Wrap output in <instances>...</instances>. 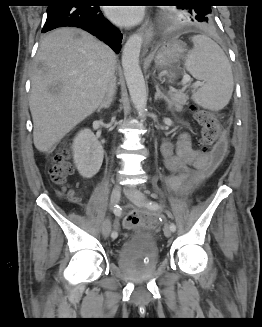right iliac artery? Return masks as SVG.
Masks as SVG:
<instances>
[{
    "label": "right iliac artery",
    "mask_w": 262,
    "mask_h": 327,
    "mask_svg": "<svg viewBox=\"0 0 262 327\" xmlns=\"http://www.w3.org/2000/svg\"><path fill=\"white\" fill-rule=\"evenodd\" d=\"M121 211H122V209L118 205H115L114 206L113 212H114V214L116 216L119 217L121 215ZM117 236H118L117 232L116 231H113L112 234H111V237L112 238H117Z\"/></svg>",
    "instance_id": "obj_1"
}]
</instances>
